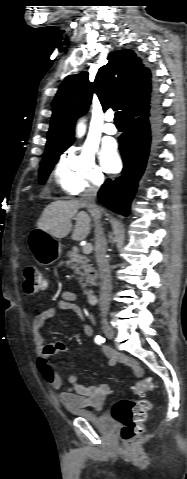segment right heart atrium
Instances as JSON below:
<instances>
[{"instance_id":"right-heart-atrium-1","label":"right heart atrium","mask_w":187,"mask_h":479,"mask_svg":"<svg viewBox=\"0 0 187 479\" xmlns=\"http://www.w3.org/2000/svg\"><path fill=\"white\" fill-rule=\"evenodd\" d=\"M60 190L68 196L98 189L105 181V173L90 148H71L63 154L55 167Z\"/></svg>"}]
</instances>
